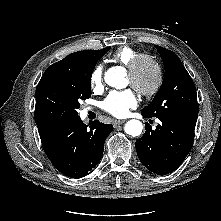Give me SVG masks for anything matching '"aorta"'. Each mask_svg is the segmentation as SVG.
Returning <instances> with one entry per match:
<instances>
[{
    "label": "aorta",
    "mask_w": 221,
    "mask_h": 221,
    "mask_svg": "<svg viewBox=\"0 0 221 221\" xmlns=\"http://www.w3.org/2000/svg\"><path fill=\"white\" fill-rule=\"evenodd\" d=\"M124 77H125V72L123 71L122 68L120 67H112L107 70L105 73V82L111 86L115 87L117 89L123 88L124 87ZM143 130V125L139 120H129L125 126H124V131L125 133L135 137L139 136L142 133Z\"/></svg>",
    "instance_id": "aorta-1"
}]
</instances>
